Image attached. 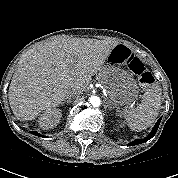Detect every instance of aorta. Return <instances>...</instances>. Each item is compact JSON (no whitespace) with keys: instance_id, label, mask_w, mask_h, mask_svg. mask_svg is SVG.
Returning <instances> with one entry per match:
<instances>
[{"instance_id":"aorta-1","label":"aorta","mask_w":178,"mask_h":178,"mask_svg":"<svg viewBox=\"0 0 178 178\" xmlns=\"http://www.w3.org/2000/svg\"><path fill=\"white\" fill-rule=\"evenodd\" d=\"M89 102L94 107H99L101 104V100L98 96H91L89 97Z\"/></svg>"}]
</instances>
